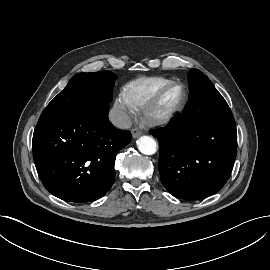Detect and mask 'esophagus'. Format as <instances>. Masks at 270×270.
<instances>
[{
  "label": "esophagus",
  "mask_w": 270,
  "mask_h": 270,
  "mask_svg": "<svg viewBox=\"0 0 270 270\" xmlns=\"http://www.w3.org/2000/svg\"><path fill=\"white\" fill-rule=\"evenodd\" d=\"M131 133L133 138H138L142 134V132L138 128H133L131 130Z\"/></svg>",
  "instance_id": "1"
}]
</instances>
